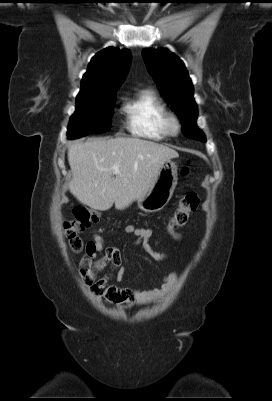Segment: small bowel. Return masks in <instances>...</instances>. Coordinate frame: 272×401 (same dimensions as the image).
<instances>
[{
    "instance_id": "small-bowel-1",
    "label": "small bowel",
    "mask_w": 272,
    "mask_h": 401,
    "mask_svg": "<svg viewBox=\"0 0 272 401\" xmlns=\"http://www.w3.org/2000/svg\"><path fill=\"white\" fill-rule=\"evenodd\" d=\"M124 233L133 235L136 242L141 244L146 252L155 259H163L149 243L152 231L148 228L137 227L129 224L124 227ZM170 236L178 239L180 235L171 227H167ZM107 266H112L116 270L115 279L120 282L125 274V267L122 264L119 250L114 247H106L102 237L94 235L86 245L85 255L80 262V270L83 275L93 284L99 293L111 297L115 302L123 307L131 304L145 305L163 299L177 283L178 275L171 272L161 279V287L155 289H129L119 288L109 284L108 277H100L99 273Z\"/></svg>"
}]
</instances>
